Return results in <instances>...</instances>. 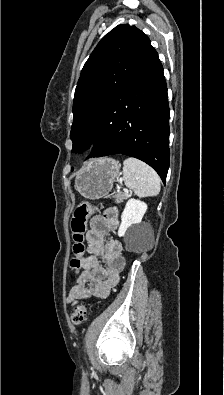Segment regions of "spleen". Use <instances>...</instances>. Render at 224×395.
Here are the masks:
<instances>
[{"mask_svg": "<svg viewBox=\"0 0 224 395\" xmlns=\"http://www.w3.org/2000/svg\"><path fill=\"white\" fill-rule=\"evenodd\" d=\"M123 180L139 197H153L160 192V178L146 163L127 158L123 161Z\"/></svg>", "mask_w": 224, "mask_h": 395, "instance_id": "1", "label": "spleen"}]
</instances>
